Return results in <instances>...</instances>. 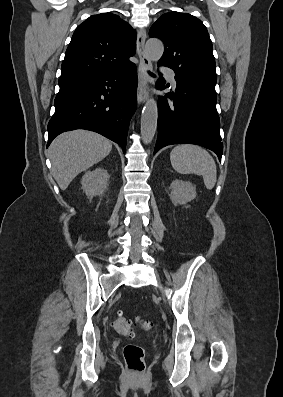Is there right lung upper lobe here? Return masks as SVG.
Returning <instances> with one entry per match:
<instances>
[{
  "mask_svg": "<svg viewBox=\"0 0 283 397\" xmlns=\"http://www.w3.org/2000/svg\"><path fill=\"white\" fill-rule=\"evenodd\" d=\"M136 32L118 15L90 16L75 30L61 66L59 84L88 78L131 64Z\"/></svg>",
  "mask_w": 283,
  "mask_h": 397,
  "instance_id": "obj_1",
  "label": "right lung upper lobe"
}]
</instances>
